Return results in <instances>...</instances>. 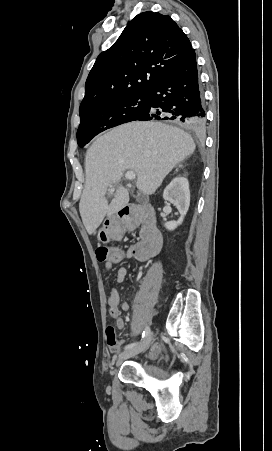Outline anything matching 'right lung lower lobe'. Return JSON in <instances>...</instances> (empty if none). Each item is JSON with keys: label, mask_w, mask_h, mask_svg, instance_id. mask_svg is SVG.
Returning <instances> with one entry per match:
<instances>
[{"label": "right lung lower lobe", "mask_w": 272, "mask_h": 451, "mask_svg": "<svg viewBox=\"0 0 272 451\" xmlns=\"http://www.w3.org/2000/svg\"><path fill=\"white\" fill-rule=\"evenodd\" d=\"M148 95L149 109L137 120H175L190 131L205 128L195 51L170 70Z\"/></svg>", "instance_id": "1"}]
</instances>
